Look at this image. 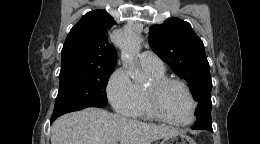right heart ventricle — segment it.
Returning a JSON list of instances; mask_svg holds the SVG:
<instances>
[{
    "label": "right heart ventricle",
    "instance_id": "right-heart-ventricle-1",
    "mask_svg": "<svg viewBox=\"0 0 260 144\" xmlns=\"http://www.w3.org/2000/svg\"><path fill=\"white\" fill-rule=\"evenodd\" d=\"M144 69L147 71L149 76L151 77V80L155 79H162L165 78L164 71H155L151 70L148 68ZM146 88L145 86L142 85H134L135 89V104L131 110V112L128 114V116L133 117V118H141V119H153L154 116L150 112V109L147 104L146 100Z\"/></svg>",
    "mask_w": 260,
    "mask_h": 144
}]
</instances>
